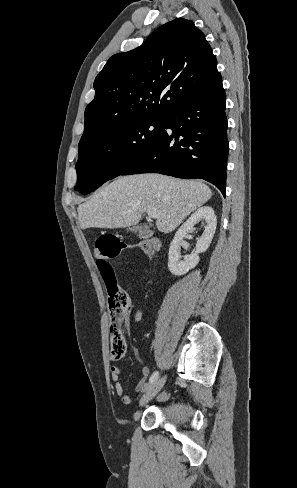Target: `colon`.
Masks as SVG:
<instances>
[{"label": "colon", "mask_w": 297, "mask_h": 488, "mask_svg": "<svg viewBox=\"0 0 297 488\" xmlns=\"http://www.w3.org/2000/svg\"><path fill=\"white\" fill-rule=\"evenodd\" d=\"M135 248L143 250L149 256L154 255L148 242L126 243L109 233L100 235L95 242L98 255L97 267L105 281L108 293L110 351L114 359L122 358L126 352L123 323L130 312L131 300L128 293L119 287L110 260L117 258L124 250Z\"/></svg>", "instance_id": "obj_1"}]
</instances>
